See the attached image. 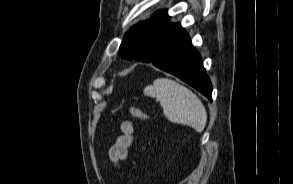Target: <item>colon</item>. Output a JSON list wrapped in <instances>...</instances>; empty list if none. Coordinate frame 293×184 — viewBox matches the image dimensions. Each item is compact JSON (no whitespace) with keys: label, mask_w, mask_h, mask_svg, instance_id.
I'll list each match as a JSON object with an SVG mask.
<instances>
[{"label":"colon","mask_w":293,"mask_h":184,"mask_svg":"<svg viewBox=\"0 0 293 184\" xmlns=\"http://www.w3.org/2000/svg\"><path fill=\"white\" fill-rule=\"evenodd\" d=\"M129 113L137 118V119H141V120H148V119H152L153 117L146 114L145 112H143L141 109L135 107V106H128L127 107Z\"/></svg>","instance_id":"colon-1"}]
</instances>
